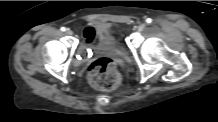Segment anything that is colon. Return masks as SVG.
<instances>
[{
  "label": "colon",
  "mask_w": 218,
  "mask_h": 122,
  "mask_svg": "<svg viewBox=\"0 0 218 122\" xmlns=\"http://www.w3.org/2000/svg\"><path fill=\"white\" fill-rule=\"evenodd\" d=\"M87 76L90 84L100 90H113L121 81L117 62L111 57L94 59L88 66Z\"/></svg>",
  "instance_id": "5ec220e1"
}]
</instances>
